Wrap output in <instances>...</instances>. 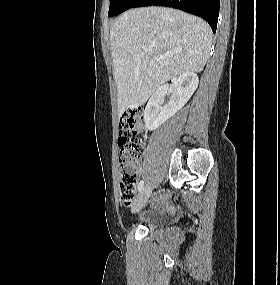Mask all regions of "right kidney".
Listing matches in <instances>:
<instances>
[{"label":"right kidney","instance_id":"ca27d5eb","mask_svg":"<svg viewBox=\"0 0 280 285\" xmlns=\"http://www.w3.org/2000/svg\"><path fill=\"white\" fill-rule=\"evenodd\" d=\"M198 76L194 72H184L171 80L173 90L169 102L162 107L163 98L169 86L163 85L150 98L145 111L144 121L150 131L156 130L175 113H177L190 99L198 87Z\"/></svg>","mask_w":280,"mask_h":285}]
</instances>
